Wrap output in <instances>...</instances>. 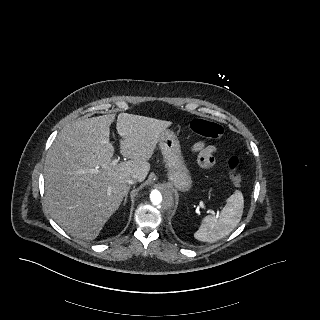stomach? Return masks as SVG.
Masks as SVG:
<instances>
[{
    "label": "stomach",
    "instance_id": "1",
    "mask_svg": "<svg viewBox=\"0 0 320 320\" xmlns=\"http://www.w3.org/2000/svg\"><path fill=\"white\" fill-rule=\"evenodd\" d=\"M158 144L168 171L169 182L179 191H189L193 181L177 136L173 131L165 129L159 137Z\"/></svg>",
    "mask_w": 320,
    "mask_h": 320
}]
</instances>
